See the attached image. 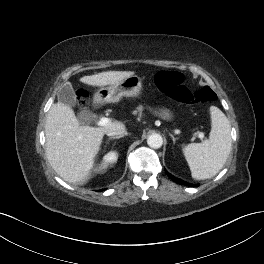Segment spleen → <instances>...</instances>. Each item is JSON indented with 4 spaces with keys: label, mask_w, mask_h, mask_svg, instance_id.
<instances>
[{
    "label": "spleen",
    "mask_w": 264,
    "mask_h": 264,
    "mask_svg": "<svg viewBox=\"0 0 264 264\" xmlns=\"http://www.w3.org/2000/svg\"><path fill=\"white\" fill-rule=\"evenodd\" d=\"M211 131L209 139L182 148L194 179L215 176L224 166L231 151V126L225 114L216 106L210 107Z\"/></svg>",
    "instance_id": "1"
}]
</instances>
